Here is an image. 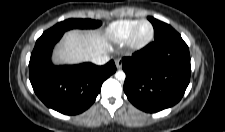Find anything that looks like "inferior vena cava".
<instances>
[{
	"mask_svg": "<svg viewBox=\"0 0 225 132\" xmlns=\"http://www.w3.org/2000/svg\"><path fill=\"white\" fill-rule=\"evenodd\" d=\"M110 60L107 55L96 56L92 59V62L96 65H104Z\"/></svg>",
	"mask_w": 225,
	"mask_h": 132,
	"instance_id": "inferior-vena-cava-1",
	"label": "inferior vena cava"
}]
</instances>
